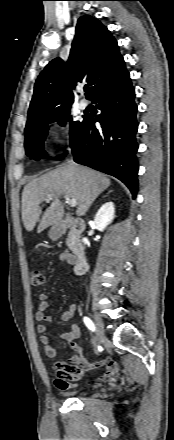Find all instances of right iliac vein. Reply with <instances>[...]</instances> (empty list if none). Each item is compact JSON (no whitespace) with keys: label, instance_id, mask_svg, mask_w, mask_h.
I'll return each mask as SVG.
<instances>
[{"label":"right iliac vein","instance_id":"1","mask_svg":"<svg viewBox=\"0 0 174 440\" xmlns=\"http://www.w3.org/2000/svg\"><path fill=\"white\" fill-rule=\"evenodd\" d=\"M94 320H95V325H96L95 343H96V345H100L106 341L103 323H102L100 317L97 315L94 316Z\"/></svg>","mask_w":174,"mask_h":440}]
</instances>
